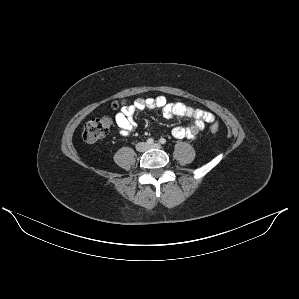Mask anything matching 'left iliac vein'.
Wrapping results in <instances>:
<instances>
[{
	"label": "left iliac vein",
	"mask_w": 299,
	"mask_h": 299,
	"mask_svg": "<svg viewBox=\"0 0 299 299\" xmlns=\"http://www.w3.org/2000/svg\"><path fill=\"white\" fill-rule=\"evenodd\" d=\"M147 148L148 149H152V148L161 149L162 146L159 143H154V144L148 145Z\"/></svg>",
	"instance_id": "4c4485c4"
}]
</instances>
